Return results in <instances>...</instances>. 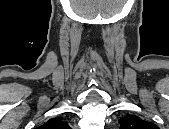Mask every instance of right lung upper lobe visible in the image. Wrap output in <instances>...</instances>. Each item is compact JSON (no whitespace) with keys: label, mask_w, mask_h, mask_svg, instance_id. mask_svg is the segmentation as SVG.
I'll return each instance as SVG.
<instances>
[{"label":"right lung upper lobe","mask_w":169,"mask_h":129,"mask_svg":"<svg viewBox=\"0 0 169 129\" xmlns=\"http://www.w3.org/2000/svg\"><path fill=\"white\" fill-rule=\"evenodd\" d=\"M68 125L60 119L52 118L41 126L42 129H66Z\"/></svg>","instance_id":"obj_1"}]
</instances>
